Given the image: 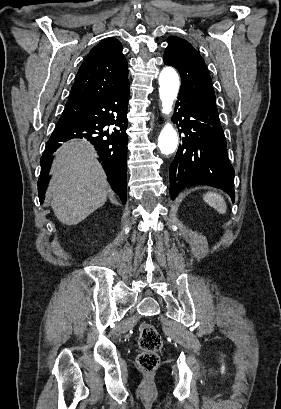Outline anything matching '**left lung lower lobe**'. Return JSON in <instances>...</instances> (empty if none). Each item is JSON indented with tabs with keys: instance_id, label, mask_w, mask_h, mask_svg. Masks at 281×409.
<instances>
[{
	"instance_id": "left-lung-lower-lobe-1",
	"label": "left lung lower lobe",
	"mask_w": 281,
	"mask_h": 409,
	"mask_svg": "<svg viewBox=\"0 0 281 409\" xmlns=\"http://www.w3.org/2000/svg\"><path fill=\"white\" fill-rule=\"evenodd\" d=\"M179 106L172 120L184 137L170 165V195L174 199L186 186L206 184L224 190L234 202V169L218 111L184 93H179Z\"/></svg>"
}]
</instances>
